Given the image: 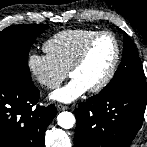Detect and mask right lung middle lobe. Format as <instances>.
<instances>
[{
  "mask_svg": "<svg viewBox=\"0 0 147 147\" xmlns=\"http://www.w3.org/2000/svg\"><path fill=\"white\" fill-rule=\"evenodd\" d=\"M48 25H14L0 32V78L31 83L28 54L34 40Z\"/></svg>",
  "mask_w": 147,
  "mask_h": 147,
  "instance_id": "right-lung-middle-lobe-1",
  "label": "right lung middle lobe"
}]
</instances>
